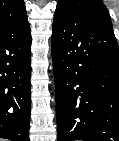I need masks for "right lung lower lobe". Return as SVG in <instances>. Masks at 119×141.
<instances>
[{"instance_id": "obj_1", "label": "right lung lower lobe", "mask_w": 119, "mask_h": 141, "mask_svg": "<svg viewBox=\"0 0 119 141\" xmlns=\"http://www.w3.org/2000/svg\"><path fill=\"white\" fill-rule=\"evenodd\" d=\"M30 48L27 15L0 22V138L29 141Z\"/></svg>"}]
</instances>
